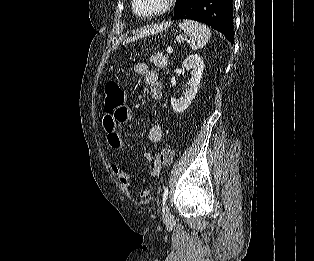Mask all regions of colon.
<instances>
[{
    "label": "colon",
    "instance_id": "5ec220e1",
    "mask_svg": "<svg viewBox=\"0 0 314 261\" xmlns=\"http://www.w3.org/2000/svg\"><path fill=\"white\" fill-rule=\"evenodd\" d=\"M124 104V92L120 86L114 82L109 81L104 86V99L103 106L104 110L107 112L108 109H117ZM174 157V152L172 149L163 148L157 157L158 162L161 165H169Z\"/></svg>",
    "mask_w": 314,
    "mask_h": 261
}]
</instances>
